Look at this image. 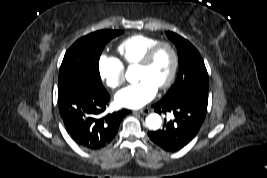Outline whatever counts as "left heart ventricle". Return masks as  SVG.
Listing matches in <instances>:
<instances>
[{"mask_svg":"<svg viewBox=\"0 0 267 178\" xmlns=\"http://www.w3.org/2000/svg\"><path fill=\"white\" fill-rule=\"evenodd\" d=\"M171 66V53L167 48H162L148 67L138 68V80L148 79L158 87L167 79Z\"/></svg>","mask_w":267,"mask_h":178,"instance_id":"left-heart-ventricle-1","label":"left heart ventricle"}]
</instances>
